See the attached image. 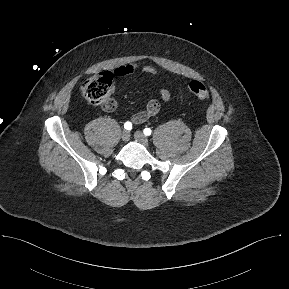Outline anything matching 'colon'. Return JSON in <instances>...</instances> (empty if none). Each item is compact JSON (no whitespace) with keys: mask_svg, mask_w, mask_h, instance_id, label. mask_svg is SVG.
I'll return each mask as SVG.
<instances>
[{"mask_svg":"<svg viewBox=\"0 0 289 289\" xmlns=\"http://www.w3.org/2000/svg\"><path fill=\"white\" fill-rule=\"evenodd\" d=\"M112 75L100 73L94 75L82 83L81 92L84 98L91 104L100 106L106 111L116 108V101L111 97ZM189 91L199 99H208V88L200 81L193 80L188 84Z\"/></svg>","mask_w":289,"mask_h":289,"instance_id":"obj_1","label":"colon"}]
</instances>
